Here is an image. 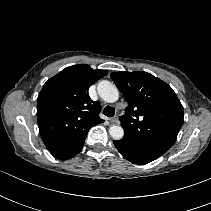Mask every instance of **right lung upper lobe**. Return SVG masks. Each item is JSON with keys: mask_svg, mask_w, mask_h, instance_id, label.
I'll return each instance as SVG.
<instances>
[{"mask_svg": "<svg viewBox=\"0 0 211 211\" xmlns=\"http://www.w3.org/2000/svg\"><path fill=\"white\" fill-rule=\"evenodd\" d=\"M107 74L80 64L65 68L49 79L37 99L40 135L57 159L75 156L89 129L104 122L99 117L100 103L92 101L89 87Z\"/></svg>", "mask_w": 211, "mask_h": 211, "instance_id": "right-lung-upper-lobe-1", "label": "right lung upper lobe"}]
</instances>
